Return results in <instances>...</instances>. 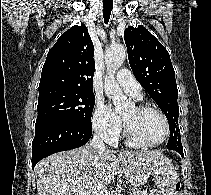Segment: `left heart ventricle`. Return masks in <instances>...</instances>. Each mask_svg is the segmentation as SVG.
I'll use <instances>...</instances> for the list:
<instances>
[{"mask_svg":"<svg viewBox=\"0 0 211 195\" xmlns=\"http://www.w3.org/2000/svg\"><path fill=\"white\" fill-rule=\"evenodd\" d=\"M135 135L147 143L160 141L165 135V124L162 117L155 112H140L132 107L123 113Z\"/></svg>","mask_w":211,"mask_h":195,"instance_id":"left-heart-ventricle-1","label":"left heart ventricle"}]
</instances>
